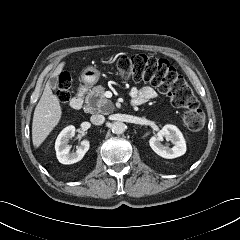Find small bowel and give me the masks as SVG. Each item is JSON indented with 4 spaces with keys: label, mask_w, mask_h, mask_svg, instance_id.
I'll return each instance as SVG.
<instances>
[{
    "label": "small bowel",
    "mask_w": 240,
    "mask_h": 240,
    "mask_svg": "<svg viewBox=\"0 0 240 240\" xmlns=\"http://www.w3.org/2000/svg\"><path fill=\"white\" fill-rule=\"evenodd\" d=\"M132 103L140 106L157 97L156 91L150 86H142L132 88L130 91Z\"/></svg>",
    "instance_id": "c3829d8e"
}]
</instances>
